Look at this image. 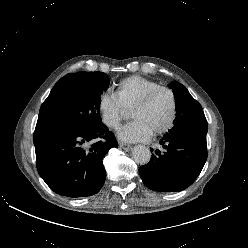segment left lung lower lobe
<instances>
[{
	"label": "left lung lower lobe",
	"instance_id": "obj_1",
	"mask_svg": "<svg viewBox=\"0 0 248 248\" xmlns=\"http://www.w3.org/2000/svg\"><path fill=\"white\" fill-rule=\"evenodd\" d=\"M160 144L164 152L155 151L149 163L139 168L143 183L159 192L186 189L198 177L206 162V134L178 131L164 135Z\"/></svg>",
	"mask_w": 248,
	"mask_h": 248
}]
</instances>
